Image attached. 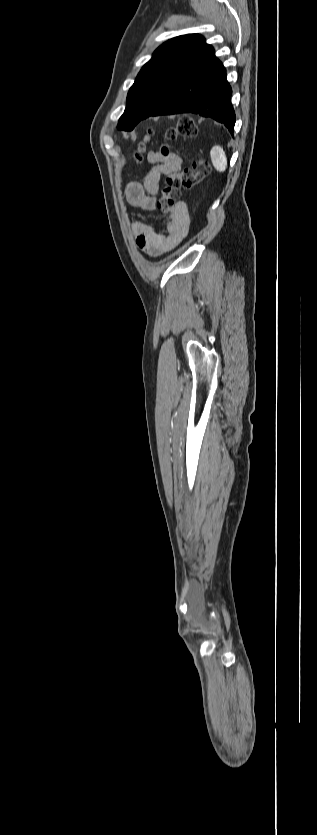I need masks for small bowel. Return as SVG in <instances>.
I'll list each match as a JSON object with an SVG mask.
<instances>
[{"instance_id":"1","label":"small bowel","mask_w":317,"mask_h":835,"mask_svg":"<svg viewBox=\"0 0 317 835\" xmlns=\"http://www.w3.org/2000/svg\"><path fill=\"white\" fill-rule=\"evenodd\" d=\"M151 169L143 183L130 181L124 188L127 201L135 208L143 211H154L157 205V195L161 180L164 176L179 173L182 159L178 155L162 156L152 151L148 154ZM188 213L186 207L179 205L167 224L165 231L160 232L149 225L135 221L131 224L136 244L140 250L149 256H159L176 247L187 235Z\"/></svg>"}]
</instances>
